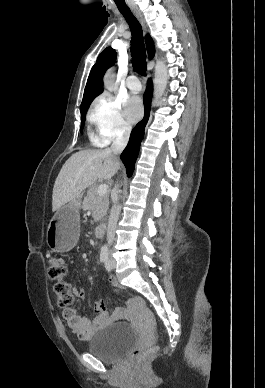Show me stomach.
<instances>
[{
  "label": "stomach",
  "mask_w": 265,
  "mask_h": 388,
  "mask_svg": "<svg viewBox=\"0 0 265 388\" xmlns=\"http://www.w3.org/2000/svg\"><path fill=\"white\" fill-rule=\"evenodd\" d=\"M79 208V200H74L57 210L46 235V241L51 250L66 252L75 246L80 229Z\"/></svg>",
  "instance_id": "0dacf381"
}]
</instances>
